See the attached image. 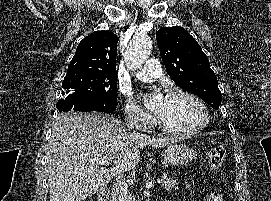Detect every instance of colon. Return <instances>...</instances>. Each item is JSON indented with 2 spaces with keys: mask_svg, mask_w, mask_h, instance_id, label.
I'll use <instances>...</instances> for the list:
<instances>
[{
  "mask_svg": "<svg viewBox=\"0 0 271 201\" xmlns=\"http://www.w3.org/2000/svg\"><path fill=\"white\" fill-rule=\"evenodd\" d=\"M208 157L210 170L213 173L218 172L221 169L225 160L224 145L221 143L213 145L208 152Z\"/></svg>",
  "mask_w": 271,
  "mask_h": 201,
  "instance_id": "5ec220e1",
  "label": "colon"
}]
</instances>
